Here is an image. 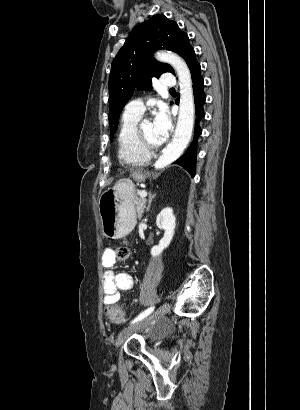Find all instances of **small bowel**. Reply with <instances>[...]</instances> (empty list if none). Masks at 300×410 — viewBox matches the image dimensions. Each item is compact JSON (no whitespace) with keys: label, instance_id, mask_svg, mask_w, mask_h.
Returning a JSON list of instances; mask_svg holds the SVG:
<instances>
[{"label":"small bowel","instance_id":"1","mask_svg":"<svg viewBox=\"0 0 300 410\" xmlns=\"http://www.w3.org/2000/svg\"><path fill=\"white\" fill-rule=\"evenodd\" d=\"M113 249L108 247L101 255V263L104 269L103 292L104 304H113L120 298V293L129 291L134 287L133 277L126 272L116 273L113 268L115 265Z\"/></svg>","mask_w":300,"mask_h":410}]
</instances>
